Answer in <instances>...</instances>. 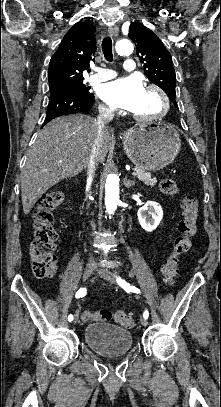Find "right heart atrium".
I'll use <instances>...</instances> for the list:
<instances>
[{"mask_svg":"<svg viewBox=\"0 0 221 407\" xmlns=\"http://www.w3.org/2000/svg\"><path fill=\"white\" fill-rule=\"evenodd\" d=\"M99 110L102 113H111L113 111V109L110 106H108L107 104H100Z\"/></svg>","mask_w":221,"mask_h":407,"instance_id":"obj_1","label":"right heart atrium"}]
</instances>
